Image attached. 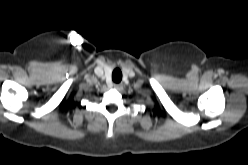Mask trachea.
<instances>
[{"label":"trachea","mask_w":248,"mask_h":165,"mask_svg":"<svg viewBox=\"0 0 248 165\" xmlns=\"http://www.w3.org/2000/svg\"><path fill=\"white\" fill-rule=\"evenodd\" d=\"M112 80L115 83H119L122 80V72L119 68H116L112 72Z\"/></svg>","instance_id":"1"}]
</instances>
